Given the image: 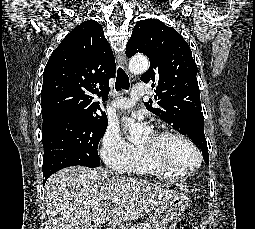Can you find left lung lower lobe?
<instances>
[{
  "label": "left lung lower lobe",
  "instance_id": "0a47b994",
  "mask_svg": "<svg viewBox=\"0 0 255 229\" xmlns=\"http://www.w3.org/2000/svg\"><path fill=\"white\" fill-rule=\"evenodd\" d=\"M203 125H204V118H203V121H202Z\"/></svg>",
  "mask_w": 255,
  "mask_h": 229
}]
</instances>
